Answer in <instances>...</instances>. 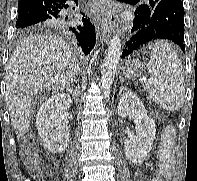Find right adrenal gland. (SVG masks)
<instances>
[{
	"instance_id": "2a0ac1e0",
	"label": "right adrenal gland",
	"mask_w": 197,
	"mask_h": 181,
	"mask_svg": "<svg viewBox=\"0 0 197 181\" xmlns=\"http://www.w3.org/2000/svg\"><path fill=\"white\" fill-rule=\"evenodd\" d=\"M68 92L72 95L74 101L76 102V104L78 103V96L80 94V90H79V87L78 86H75L73 88V86H68L67 88Z\"/></svg>"
}]
</instances>
